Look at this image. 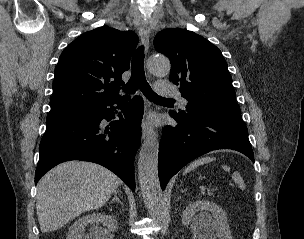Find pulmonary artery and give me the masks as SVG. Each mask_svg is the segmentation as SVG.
Segmentation results:
<instances>
[{"label":"pulmonary artery","instance_id":"obj_1","mask_svg":"<svg viewBox=\"0 0 304 239\" xmlns=\"http://www.w3.org/2000/svg\"><path fill=\"white\" fill-rule=\"evenodd\" d=\"M157 93L164 97H176L179 98L182 104H187V100L181 96L179 91L169 82L161 81L156 85Z\"/></svg>","mask_w":304,"mask_h":239}]
</instances>
